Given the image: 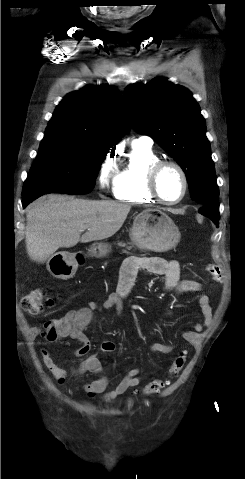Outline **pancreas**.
<instances>
[{
    "label": "pancreas",
    "instance_id": "1",
    "mask_svg": "<svg viewBox=\"0 0 245 479\" xmlns=\"http://www.w3.org/2000/svg\"><path fill=\"white\" fill-rule=\"evenodd\" d=\"M118 246L125 247L126 244H125V243H122V242H119V243H118ZM127 248L130 249L131 247H127Z\"/></svg>",
    "mask_w": 245,
    "mask_h": 479
}]
</instances>
